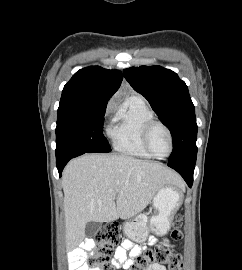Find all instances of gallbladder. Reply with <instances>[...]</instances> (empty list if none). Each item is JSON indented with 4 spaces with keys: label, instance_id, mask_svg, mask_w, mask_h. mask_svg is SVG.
I'll return each instance as SVG.
<instances>
[{
    "label": "gallbladder",
    "instance_id": "bac80fb5",
    "mask_svg": "<svg viewBox=\"0 0 242 270\" xmlns=\"http://www.w3.org/2000/svg\"><path fill=\"white\" fill-rule=\"evenodd\" d=\"M85 228L86 235L89 237H93L98 233L100 229V223L97 221H90L86 224Z\"/></svg>",
    "mask_w": 242,
    "mask_h": 270
}]
</instances>
